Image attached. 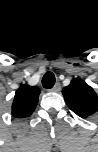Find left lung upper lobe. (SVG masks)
<instances>
[{"instance_id":"left-lung-upper-lobe-1","label":"left lung upper lobe","mask_w":98,"mask_h":152,"mask_svg":"<svg viewBox=\"0 0 98 152\" xmlns=\"http://www.w3.org/2000/svg\"><path fill=\"white\" fill-rule=\"evenodd\" d=\"M62 94L68 107L82 118L98 111V95L80 78L72 79L71 83L63 88Z\"/></svg>"}]
</instances>
